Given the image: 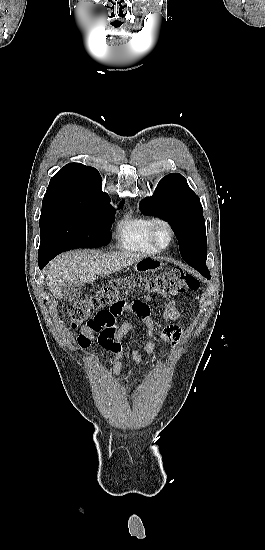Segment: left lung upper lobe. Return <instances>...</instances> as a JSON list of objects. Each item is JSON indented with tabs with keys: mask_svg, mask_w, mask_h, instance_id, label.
Listing matches in <instances>:
<instances>
[{
	"mask_svg": "<svg viewBox=\"0 0 265 550\" xmlns=\"http://www.w3.org/2000/svg\"><path fill=\"white\" fill-rule=\"evenodd\" d=\"M140 210L171 225L184 261L188 264L206 262L207 237L203 208L200 199L181 174L164 176L153 195L140 203Z\"/></svg>",
	"mask_w": 265,
	"mask_h": 550,
	"instance_id": "left-lung-upper-lobe-1",
	"label": "left lung upper lobe"
}]
</instances>
